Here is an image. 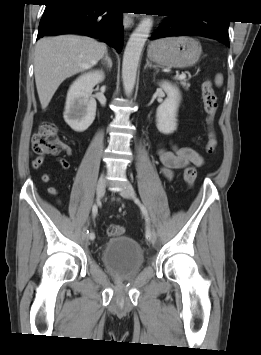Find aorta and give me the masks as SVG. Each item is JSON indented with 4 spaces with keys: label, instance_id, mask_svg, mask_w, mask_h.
<instances>
[{
    "label": "aorta",
    "instance_id": "762f6f07",
    "mask_svg": "<svg viewBox=\"0 0 261 355\" xmlns=\"http://www.w3.org/2000/svg\"><path fill=\"white\" fill-rule=\"evenodd\" d=\"M152 25L153 21L150 17L142 19L127 42L122 62L123 87L127 96H130L134 90L140 55Z\"/></svg>",
    "mask_w": 261,
    "mask_h": 355
}]
</instances>
